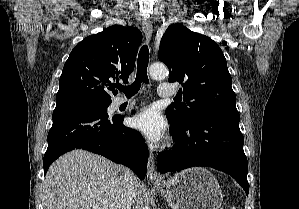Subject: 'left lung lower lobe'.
Listing matches in <instances>:
<instances>
[{
  "label": "left lung lower lobe",
  "instance_id": "obj_1",
  "mask_svg": "<svg viewBox=\"0 0 299 209\" xmlns=\"http://www.w3.org/2000/svg\"><path fill=\"white\" fill-rule=\"evenodd\" d=\"M236 106L208 107L185 124H172L175 148L158 157L161 173L207 166L230 174L248 195L247 158Z\"/></svg>",
  "mask_w": 299,
  "mask_h": 209
}]
</instances>
